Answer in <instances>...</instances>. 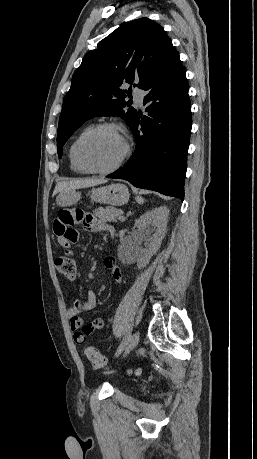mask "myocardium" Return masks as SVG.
Instances as JSON below:
<instances>
[{
    "label": "myocardium",
    "instance_id": "myocardium-1",
    "mask_svg": "<svg viewBox=\"0 0 257 459\" xmlns=\"http://www.w3.org/2000/svg\"><path fill=\"white\" fill-rule=\"evenodd\" d=\"M103 129H111V130H114V131H117L124 139V144H125V147H124V152L123 154L121 155V157L118 159V161L113 164L112 166L110 167H107V168H95V167H91L89 165H87L82 157H81V146L82 144L85 142L86 139H88L92 134H94L95 132L99 131V130H103ZM130 145H129V142L127 140V137H126V134L123 130V128L116 124V123H112V122H103V123H98L92 127H90L89 129H87L84 133H82L79 138L77 139L76 143H75V146H74V158H75V161L77 163V165L85 172L87 173H92V174H109V173H112L116 170H118L123 164L124 162L127 160V158L129 157L130 155Z\"/></svg>",
    "mask_w": 257,
    "mask_h": 459
}]
</instances>
